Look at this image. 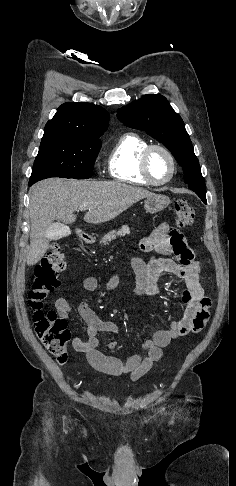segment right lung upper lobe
<instances>
[{"mask_svg":"<svg viewBox=\"0 0 236 486\" xmlns=\"http://www.w3.org/2000/svg\"><path fill=\"white\" fill-rule=\"evenodd\" d=\"M109 123L108 112L86 102L62 104L46 123L44 134H68L87 139H99Z\"/></svg>","mask_w":236,"mask_h":486,"instance_id":"obj_1","label":"right lung upper lobe"}]
</instances>
